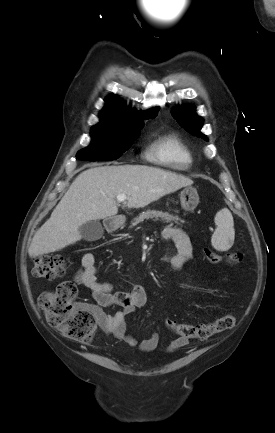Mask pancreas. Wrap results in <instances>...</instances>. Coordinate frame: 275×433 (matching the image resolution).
I'll list each match as a JSON object with an SVG mask.
<instances>
[{
	"label": "pancreas",
	"mask_w": 275,
	"mask_h": 433,
	"mask_svg": "<svg viewBox=\"0 0 275 433\" xmlns=\"http://www.w3.org/2000/svg\"><path fill=\"white\" fill-rule=\"evenodd\" d=\"M150 218H155L156 220H158V218H160L163 222L170 223L171 225H173V223H175L177 225H181L179 222H181V223L184 222L178 216L171 215L168 212H162V211H156V210H147L146 212H142L138 217L133 219L130 228L143 222L145 219H150Z\"/></svg>",
	"instance_id": "obj_1"
}]
</instances>
